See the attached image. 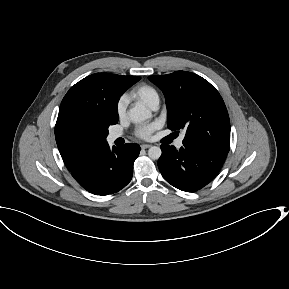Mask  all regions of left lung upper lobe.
I'll use <instances>...</instances> for the list:
<instances>
[{"instance_id": "5c2ea615", "label": "left lung upper lobe", "mask_w": 289, "mask_h": 289, "mask_svg": "<svg viewBox=\"0 0 289 289\" xmlns=\"http://www.w3.org/2000/svg\"><path fill=\"white\" fill-rule=\"evenodd\" d=\"M149 79L165 95L169 129H184L183 141L229 152V115L222 97L207 80L186 71Z\"/></svg>"}]
</instances>
